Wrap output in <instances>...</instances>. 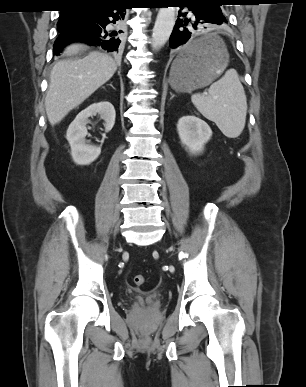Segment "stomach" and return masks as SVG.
Masks as SVG:
<instances>
[{
	"instance_id": "1",
	"label": "stomach",
	"mask_w": 306,
	"mask_h": 387,
	"mask_svg": "<svg viewBox=\"0 0 306 387\" xmlns=\"http://www.w3.org/2000/svg\"><path fill=\"white\" fill-rule=\"evenodd\" d=\"M210 42L211 45L200 56L183 63L181 52L170 70V84L177 92H192L212 83L227 67L229 54L223 41L214 34H206L194 40L190 47Z\"/></svg>"
}]
</instances>
